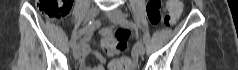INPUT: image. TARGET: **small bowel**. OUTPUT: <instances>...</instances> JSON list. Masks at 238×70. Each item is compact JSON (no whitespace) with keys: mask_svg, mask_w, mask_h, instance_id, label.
<instances>
[{"mask_svg":"<svg viewBox=\"0 0 238 70\" xmlns=\"http://www.w3.org/2000/svg\"><path fill=\"white\" fill-rule=\"evenodd\" d=\"M102 36H103L102 46L106 54L109 56L117 54L120 51V49L116 47L117 41L112 35V30L110 29L103 30ZM82 49L84 55L93 54L98 59L99 63L93 67H89L88 65L83 64L81 70H105L106 64L105 58L100 53L93 51L88 42L83 43Z\"/></svg>","mask_w":238,"mask_h":70,"instance_id":"obj_1","label":"small bowel"}]
</instances>
